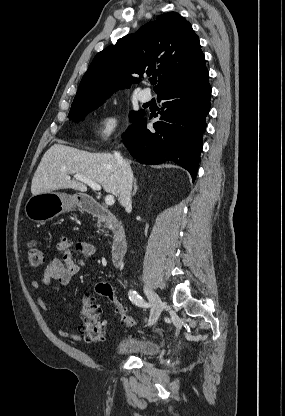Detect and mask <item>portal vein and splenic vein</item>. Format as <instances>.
I'll return each mask as SVG.
<instances>
[{"instance_id":"obj_1","label":"portal vein and splenic vein","mask_w":285,"mask_h":416,"mask_svg":"<svg viewBox=\"0 0 285 416\" xmlns=\"http://www.w3.org/2000/svg\"><path fill=\"white\" fill-rule=\"evenodd\" d=\"M70 180V176H68ZM75 180H79V182H83V184H87L89 188H92V190H101L100 184H96V182H93V180H89V178H86V176H80V174H74ZM105 204L107 206H113L115 204L114 196H106L105 198Z\"/></svg>"}]
</instances>
